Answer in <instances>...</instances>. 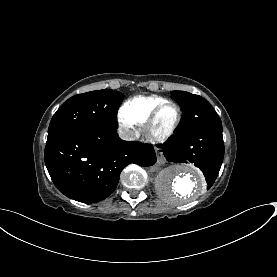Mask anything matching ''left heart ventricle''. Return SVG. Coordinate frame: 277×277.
<instances>
[{
  "mask_svg": "<svg viewBox=\"0 0 277 277\" xmlns=\"http://www.w3.org/2000/svg\"><path fill=\"white\" fill-rule=\"evenodd\" d=\"M177 111L174 106L164 108L155 125L154 131L158 134H164L173 126L176 121Z\"/></svg>",
  "mask_w": 277,
  "mask_h": 277,
  "instance_id": "1",
  "label": "left heart ventricle"
}]
</instances>
